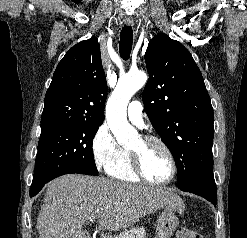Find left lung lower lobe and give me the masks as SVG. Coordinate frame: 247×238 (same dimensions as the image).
Segmentation results:
<instances>
[{"label":"left lung lower lobe","instance_id":"1","mask_svg":"<svg viewBox=\"0 0 247 238\" xmlns=\"http://www.w3.org/2000/svg\"><path fill=\"white\" fill-rule=\"evenodd\" d=\"M181 190L202 196L213 204L217 203V188L213 175L201 177Z\"/></svg>","mask_w":247,"mask_h":238}]
</instances>
